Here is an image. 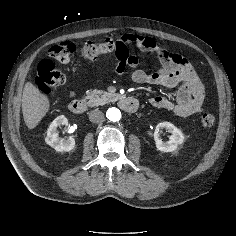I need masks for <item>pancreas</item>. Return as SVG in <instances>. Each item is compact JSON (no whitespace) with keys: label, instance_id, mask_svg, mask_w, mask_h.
<instances>
[{"label":"pancreas","instance_id":"cf45deb5","mask_svg":"<svg viewBox=\"0 0 236 236\" xmlns=\"http://www.w3.org/2000/svg\"><path fill=\"white\" fill-rule=\"evenodd\" d=\"M85 100H88L89 106H98L114 101L115 94L97 89L88 90L86 92Z\"/></svg>","mask_w":236,"mask_h":236}]
</instances>
